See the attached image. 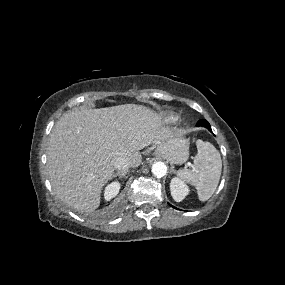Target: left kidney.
<instances>
[{
	"instance_id": "5707ae66",
	"label": "left kidney",
	"mask_w": 285,
	"mask_h": 285,
	"mask_svg": "<svg viewBox=\"0 0 285 285\" xmlns=\"http://www.w3.org/2000/svg\"><path fill=\"white\" fill-rule=\"evenodd\" d=\"M170 190L176 202L182 201L189 194L188 186L181 179L176 177L171 180Z\"/></svg>"
}]
</instances>
